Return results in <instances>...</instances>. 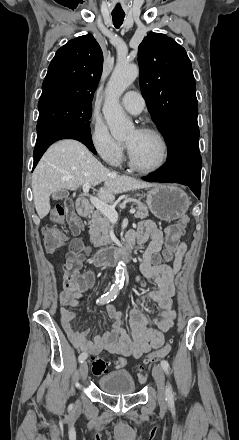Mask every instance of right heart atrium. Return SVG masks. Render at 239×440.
I'll return each mask as SVG.
<instances>
[{
  "mask_svg": "<svg viewBox=\"0 0 239 440\" xmlns=\"http://www.w3.org/2000/svg\"><path fill=\"white\" fill-rule=\"evenodd\" d=\"M89 136L91 144L105 162L111 165L121 163L124 157V144L117 141L105 124L95 117L91 120Z\"/></svg>",
  "mask_w": 239,
  "mask_h": 440,
  "instance_id": "right-heart-atrium-1",
  "label": "right heart atrium"
}]
</instances>
